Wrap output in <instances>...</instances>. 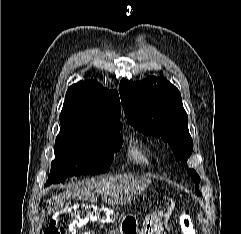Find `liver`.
Here are the masks:
<instances>
[{"label":"liver","mask_w":241,"mask_h":234,"mask_svg":"<svg viewBox=\"0 0 241 234\" xmlns=\"http://www.w3.org/2000/svg\"><path fill=\"white\" fill-rule=\"evenodd\" d=\"M152 183L151 178L132 174H120L97 180L81 181L69 185L66 191L54 195L47 200V214L68 207L67 201L78 199L83 201H97V194L110 205L130 204L142 194Z\"/></svg>","instance_id":"obj_1"}]
</instances>
